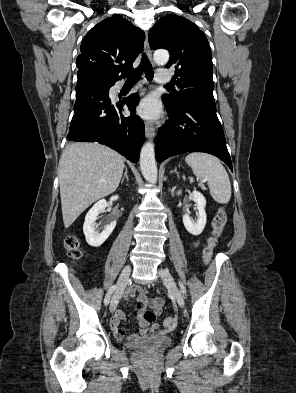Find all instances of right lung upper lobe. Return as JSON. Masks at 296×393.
I'll return each mask as SVG.
<instances>
[{"instance_id": "1", "label": "right lung upper lobe", "mask_w": 296, "mask_h": 393, "mask_svg": "<svg viewBox=\"0 0 296 393\" xmlns=\"http://www.w3.org/2000/svg\"><path fill=\"white\" fill-rule=\"evenodd\" d=\"M145 34L128 20L114 14L95 25L83 38L76 60L77 73L114 84L124 76L120 71L133 69L141 53Z\"/></svg>"}]
</instances>
